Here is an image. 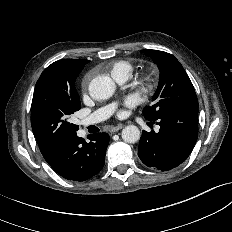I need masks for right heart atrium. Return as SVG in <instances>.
I'll return each instance as SVG.
<instances>
[{"mask_svg":"<svg viewBox=\"0 0 232 232\" xmlns=\"http://www.w3.org/2000/svg\"><path fill=\"white\" fill-rule=\"evenodd\" d=\"M89 82V76H86L82 82L83 87H86Z\"/></svg>","mask_w":232,"mask_h":232,"instance_id":"obj_1","label":"right heart atrium"}]
</instances>
